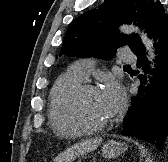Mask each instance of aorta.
Segmentation results:
<instances>
[{
    "instance_id": "1",
    "label": "aorta",
    "mask_w": 168,
    "mask_h": 162,
    "mask_svg": "<svg viewBox=\"0 0 168 162\" xmlns=\"http://www.w3.org/2000/svg\"><path fill=\"white\" fill-rule=\"evenodd\" d=\"M122 32L124 33H131V32H135L138 33L142 43L144 44V46L146 47V50L148 52V60L151 62V69L154 68V62L153 60L155 59V54H154V49H153V42L148 38L147 34L144 31H141L138 27H134V26H123L120 29Z\"/></svg>"
}]
</instances>
